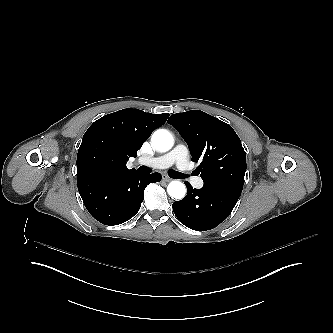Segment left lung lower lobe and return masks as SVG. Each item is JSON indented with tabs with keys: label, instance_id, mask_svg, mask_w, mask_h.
<instances>
[{
	"label": "left lung lower lobe",
	"instance_id": "1",
	"mask_svg": "<svg viewBox=\"0 0 333 333\" xmlns=\"http://www.w3.org/2000/svg\"><path fill=\"white\" fill-rule=\"evenodd\" d=\"M187 195L173 203L178 220L190 229L206 231L215 228L232 212L241 193L227 189H193L185 182Z\"/></svg>",
	"mask_w": 333,
	"mask_h": 333
}]
</instances>
